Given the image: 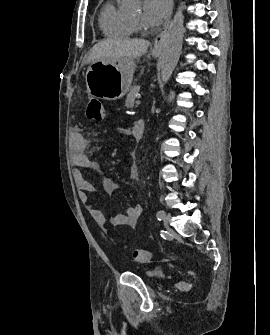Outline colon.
Here are the masks:
<instances>
[{
    "label": "colon",
    "mask_w": 270,
    "mask_h": 335,
    "mask_svg": "<svg viewBox=\"0 0 270 335\" xmlns=\"http://www.w3.org/2000/svg\"><path fill=\"white\" fill-rule=\"evenodd\" d=\"M107 116L103 101L98 97H91L86 108V117L89 121L102 122ZM131 255L134 261L139 263H148L150 261V252L144 248H131Z\"/></svg>",
    "instance_id": "5ec220e1"
}]
</instances>
